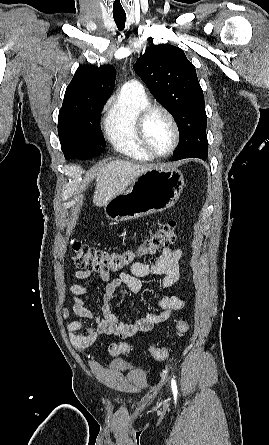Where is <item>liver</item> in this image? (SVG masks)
<instances>
[{
	"mask_svg": "<svg viewBox=\"0 0 269 445\" xmlns=\"http://www.w3.org/2000/svg\"><path fill=\"white\" fill-rule=\"evenodd\" d=\"M153 165L140 164L125 160H115L97 169L96 188L93 203L105 206L110 200L125 192L138 176L151 169Z\"/></svg>",
	"mask_w": 269,
	"mask_h": 445,
	"instance_id": "obj_1",
	"label": "liver"
}]
</instances>
